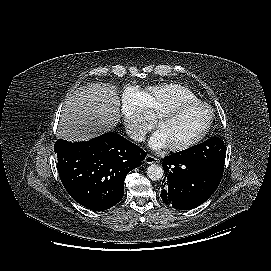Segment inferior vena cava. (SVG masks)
Returning <instances> with one entry per match:
<instances>
[{"mask_svg":"<svg viewBox=\"0 0 271 271\" xmlns=\"http://www.w3.org/2000/svg\"><path fill=\"white\" fill-rule=\"evenodd\" d=\"M126 134L135 141H144L145 140V133L142 131L137 130H126Z\"/></svg>","mask_w":271,"mask_h":271,"instance_id":"602c4592","label":"inferior vena cava"}]
</instances>
